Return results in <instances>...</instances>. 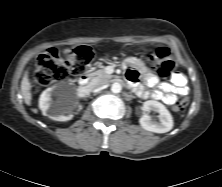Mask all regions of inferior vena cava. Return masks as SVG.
<instances>
[{
  "mask_svg": "<svg viewBox=\"0 0 222 187\" xmlns=\"http://www.w3.org/2000/svg\"><path fill=\"white\" fill-rule=\"evenodd\" d=\"M107 80L104 78H100V77H95L94 79H92V81L90 82V86L93 89H99L104 87L107 84Z\"/></svg>",
  "mask_w": 222,
  "mask_h": 187,
  "instance_id": "1",
  "label": "inferior vena cava"
}]
</instances>
